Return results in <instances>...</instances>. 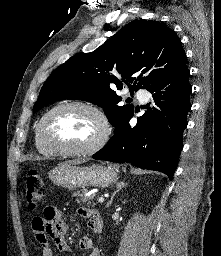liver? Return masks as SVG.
I'll return each instance as SVG.
<instances>
[{
    "mask_svg": "<svg viewBox=\"0 0 221 256\" xmlns=\"http://www.w3.org/2000/svg\"><path fill=\"white\" fill-rule=\"evenodd\" d=\"M83 160H71V161H66L64 163H69V164H81L83 163Z\"/></svg>",
    "mask_w": 221,
    "mask_h": 256,
    "instance_id": "obj_1",
    "label": "liver"
}]
</instances>
